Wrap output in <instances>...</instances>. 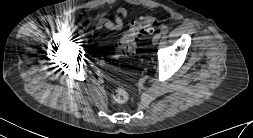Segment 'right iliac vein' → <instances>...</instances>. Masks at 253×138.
Segmentation results:
<instances>
[{"label": "right iliac vein", "mask_w": 253, "mask_h": 138, "mask_svg": "<svg viewBox=\"0 0 253 138\" xmlns=\"http://www.w3.org/2000/svg\"><path fill=\"white\" fill-rule=\"evenodd\" d=\"M76 34H77L78 36H81V35L83 34V31H82L81 29H78V30L76 31Z\"/></svg>", "instance_id": "obj_1"}]
</instances>
